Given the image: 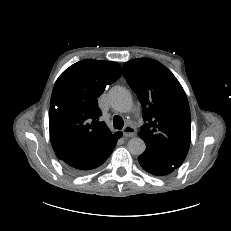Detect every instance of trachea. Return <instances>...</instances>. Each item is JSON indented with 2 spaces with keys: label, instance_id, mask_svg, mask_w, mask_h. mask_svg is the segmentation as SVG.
Wrapping results in <instances>:
<instances>
[{
  "label": "trachea",
  "instance_id": "trachea-1",
  "mask_svg": "<svg viewBox=\"0 0 231 231\" xmlns=\"http://www.w3.org/2000/svg\"><path fill=\"white\" fill-rule=\"evenodd\" d=\"M113 125L116 129H122L124 126V121L120 116L116 115L113 118Z\"/></svg>",
  "mask_w": 231,
  "mask_h": 231
}]
</instances>
